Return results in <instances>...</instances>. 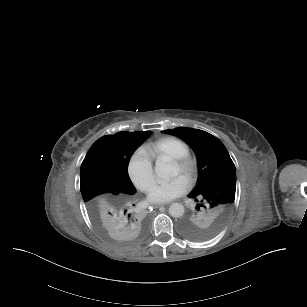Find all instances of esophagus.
<instances>
[{
	"label": "esophagus",
	"mask_w": 307,
	"mask_h": 307,
	"mask_svg": "<svg viewBox=\"0 0 307 307\" xmlns=\"http://www.w3.org/2000/svg\"><path fill=\"white\" fill-rule=\"evenodd\" d=\"M152 207L159 208V207H161V204H153Z\"/></svg>",
	"instance_id": "1"
}]
</instances>
